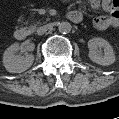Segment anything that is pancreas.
Here are the masks:
<instances>
[{"mask_svg":"<svg viewBox=\"0 0 119 119\" xmlns=\"http://www.w3.org/2000/svg\"><path fill=\"white\" fill-rule=\"evenodd\" d=\"M36 26H37V24H34V25L30 26L29 30L33 32L35 30Z\"/></svg>","mask_w":119,"mask_h":119,"instance_id":"cf45deb5","label":"pancreas"}]
</instances>
